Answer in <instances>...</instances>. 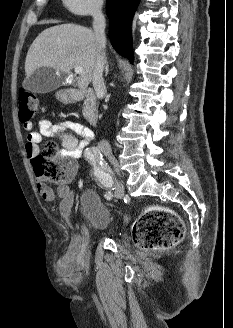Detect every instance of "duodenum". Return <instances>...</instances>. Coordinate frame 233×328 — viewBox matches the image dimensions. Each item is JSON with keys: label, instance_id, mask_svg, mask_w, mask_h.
Masks as SVG:
<instances>
[{"label": "duodenum", "instance_id": "obj_1", "mask_svg": "<svg viewBox=\"0 0 233 328\" xmlns=\"http://www.w3.org/2000/svg\"><path fill=\"white\" fill-rule=\"evenodd\" d=\"M63 98L68 102L82 101V115L92 125L97 123V106L96 96L93 90L83 89L66 90L63 93Z\"/></svg>", "mask_w": 233, "mask_h": 328}]
</instances>
